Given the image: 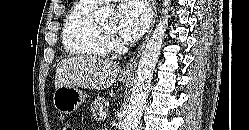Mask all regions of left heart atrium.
Instances as JSON below:
<instances>
[{
  "label": "left heart atrium",
  "mask_w": 249,
  "mask_h": 130,
  "mask_svg": "<svg viewBox=\"0 0 249 130\" xmlns=\"http://www.w3.org/2000/svg\"><path fill=\"white\" fill-rule=\"evenodd\" d=\"M151 20L150 11L142 0L123 3L119 8V34L129 42L140 38Z\"/></svg>",
  "instance_id": "1"
}]
</instances>
